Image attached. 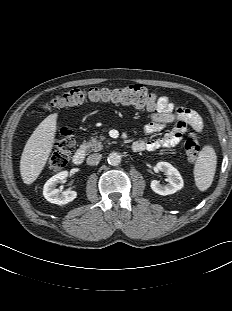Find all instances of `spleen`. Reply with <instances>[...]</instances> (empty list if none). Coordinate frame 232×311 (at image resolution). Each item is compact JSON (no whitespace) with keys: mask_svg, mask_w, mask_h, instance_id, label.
<instances>
[{"mask_svg":"<svg viewBox=\"0 0 232 311\" xmlns=\"http://www.w3.org/2000/svg\"><path fill=\"white\" fill-rule=\"evenodd\" d=\"M217 156L211 146H205L199 152L194 166L195 184L200 191L207 190L212 182L216 171Z\"/></svg>","mask_w":232,"mask_h":311,"instance_id":"obj_1","label":"spleen"}]
</instances>
